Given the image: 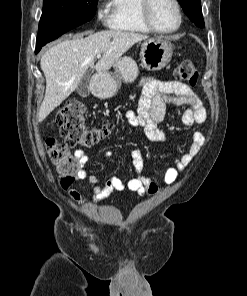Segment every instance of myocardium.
I'll return each mask as SVG.
<instances>
[{
	"instance_id": "myocardium-1",
	"label": "myocardium",
	"mask_w": 247,
	"mask_h": 296,
	"mask_svg": "<svg viewBox=\"0 0 247 296\" xmlns=\"http://www.w3.org/2000/svg\"><path fill=\"white\" fill-rule=\"evenodd\" d=\"M171 2L175 6L177 16H178V21H177V24L174 28L168 29V30H163V29L158 28L152 19L151 10H152V5H153V0H142L141 15H142V18H143L145 24L149 27V29L151 31L159 33V34H171V33L176 32L181 27L182 21H183V16H182V9H181L180 3L178 2V0H171Z\"/></svg>"
}]
</instances>
